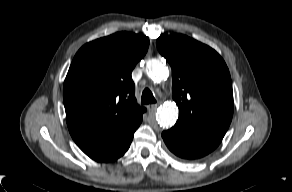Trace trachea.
<instances>
[{
    "mask_svg": "<svg viewBox=\"0 0 292 192\" xmlns=\"http://www.w3.org/2000/svg\"><path fill=\"white\" fill-rule=\"evenodd\" d=\"M141 103L142 104L156 103V100H155L152 92L148 88H146L142 93Z\"/></svg>",
    "mask_w": 292,
    "mask_h": 192,
    "instance_id": "1",
    "label": "trachea"
}]
</instances>
